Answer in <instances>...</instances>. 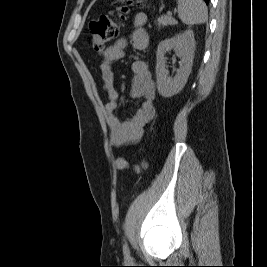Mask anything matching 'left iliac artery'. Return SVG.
Here are the masks:
<instances>
[{"label":"left iliac artery","mask_w":267,"mask_h":267,"mask_svg":"<svg viewBox=\"0 0 267 267\" xmlns=\"http://www.w3.org/2000/svg\"><path fill=\"white\" fill-rule=\"evenodd\" d=\"M123 253L127 259L130 257L129 247L126 242L123 244Z\"/></svg>","instance_id":"44dca946"}]
</instances>
